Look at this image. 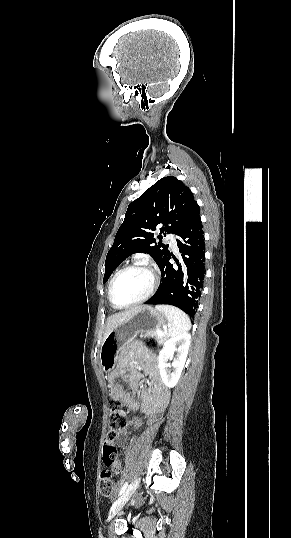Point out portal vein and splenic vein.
Segmentation results:
<instances>
[{
    "mask_svg": "<svg viewBox=\"0 0 291 538\" xmlns=\"http://www.w3.org/2000/svg\"><path fill=\"white\" fill-rule=\"evenodd\" d=\"M158 334L159 335H163L164 333L162 331H158Z\"/></svg>",
    "mask_w": 291,
    "mask_h": 538,
    "instance_id": "1",
    "label": "portal vein and splenic vein"
}]
</instances>
